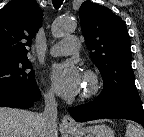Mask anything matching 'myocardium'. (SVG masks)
<instances>
[{"instance_id": "obj_1", "label": "myocardium", "mask_w": 144, "mask_h": 137, "mask_svg": "<svg viewBox=\"0 0 144 137\" xmlns=\"http://www.w3.org/2000/svg\"><path fill=\"white\" fill-rule=\"evenodd\" d=\"M84 81L85 86L81 94V99L83 100L95 96L101 87V82L98 74L91 69H87L84 72Z\"/></svg>"}]
</instances>
